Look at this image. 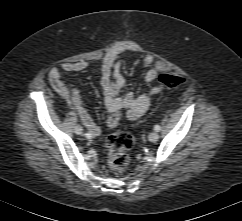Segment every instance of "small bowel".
<instances>
[{
  "label": "small bowel",
  "instance_id": "1",
  "mask_svg": "<svg viewBox=\"0 0 242 221\" xmlns=\"http://www.w3.org/2000/svg\"><path fill=\"white\" fill-rule=\"evenodd\" d=\"M139 52V47L131 43H119L112 47L103 57L101 61V86L104 95V104L108 113L117 111H124L125 117L130 120H135L141 117L149 108L153 96L162 91L161 85L151 86L157 77L158 71L156 69H149L145 75L144 80L147 83V89L139 95L129 93L121 96L120 91L126 85V79L123 77L122 61L120 55L123 52ZM150 64L149 58H144L143 66ZM88 62H65L60 68H53L50 72L51 82L57 79L60 81L62 87L57 90L58 93L67 99L76 110L80 120L88 129L91 135L97 136L100 133V127L94 122L83 101L80 97L79 91L76 88H68L63 79V72H79L88 67Z\"/></svg>",
  "mask_w": 242,
  "mask_h": 221
}]
</instances>
